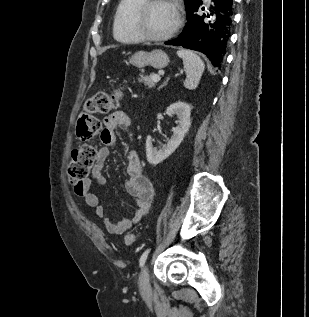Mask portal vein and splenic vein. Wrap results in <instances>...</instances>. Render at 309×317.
Listing matches in <instances>:
<instances>
[{
	"instance_id": "obj_1",
	"label": "portal vein and splenic vein",
	"mask_w": 309,
	"mask_h": 317,
	"mask_svg": "<svg viewBox=\"0 0 309 317\" xmlns=\"http://www.w3.org/2000/svg\"><path fill=\"white\" fill-rule=\"evenodd\" d=\"M152 79H153V81H155V82H159V81H160V76H159L158 74L153 75V76H152Z\"/></svg>"
}]
</instances>
